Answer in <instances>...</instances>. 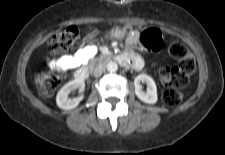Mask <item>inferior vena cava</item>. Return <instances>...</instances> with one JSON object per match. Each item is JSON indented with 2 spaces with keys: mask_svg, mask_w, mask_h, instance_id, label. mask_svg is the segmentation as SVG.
I'll return each instance as SVG.
<instances>
[{
  "mask_svg": "<svg viewBox=\"0 0 225 155\" xmlns=\"http://www.w3.org/2000/svg\"><path fill=\"white\" fill-rule=\"evenodd\" d=\"M105 71V65L104 64H99L97 65L94 70H93V75L95 77H99L102 75V73Z\"/></svg>",
  "mask_w": 225,
  "mask_h": 155,
  "instance_id": "inferior-vena-cava-1",
  "label": "inferior vena cava"
}]
</instances>
